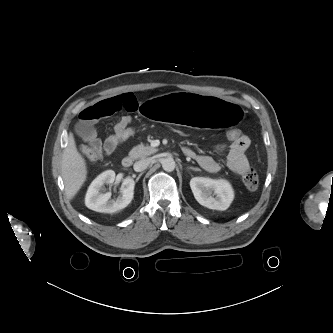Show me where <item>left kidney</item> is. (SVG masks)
I'll list each match as a JSON object with an SVG mask.
<instances>
[{
  "label": "left kidney",
  "mask_w": 333,
  "mask_h": 333,
  "mask_svg": "<svg viewBox=\"0 0 333 333\" xmlns=\"http://www.w3.org/2000/svg\"><path fill=\"white\" fill-rule=\"evenodd\" d=\"M190 187L198 203L209 209L226 210L234 199L230 183L223 179L194 177Z\"/></svg>",
  "instance_id": "1"
}]
</instances>
